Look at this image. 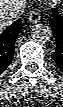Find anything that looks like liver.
<instances>
[{
    "instance_id": "6515ba94",
    "label": "liver",
    "mask_w": 63,
    "mask_h": 107,
    "mask_svg": "<svg viewBox=\"0 0 63 107\" xmlns=\"http://www.w3.org/2000/svg\"><path fill=\"white\" fill-rule=\"evenodd\" d=\"M16 1H20V0H0V29H4L7 26H9L12 22L8 19V18H2L1 16V12L2 9H10L12 7H14L17 2Z\"/></svg>"
}]
</instances>
